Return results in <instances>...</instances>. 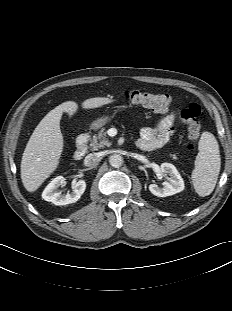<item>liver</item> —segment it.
Masks as SVG:
<instances>
[{
    "label": "liver",
    "mask_w": 232,
    "mask_h": 311,
    "mask_svg": "<svg viewBox=\"0 0 232 311\" xmlns=\"http://www.w3.org/2000/svg\"><path fill=\"white\" fill-rule=\"evenodd\" d=\"M106 97H95L82 103L84 109H94L112 103ZM78 110L74 101H66L51 110L33 131L21 160V179L25 189L36 191L57 169L63 151L60 120L64 112L71 117Z\"/></svg>",
    "instance_id": "obj_1"
}]
</instances>
